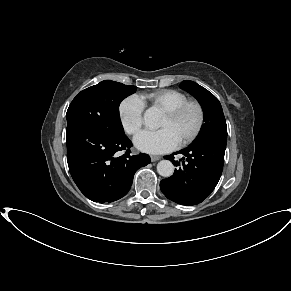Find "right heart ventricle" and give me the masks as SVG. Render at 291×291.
Returning <instances> with one entry per match:
<instances>
[{
    "instance_id": "e07e8e85",
    "label": "right heart ventricle",
    "mask_w": 291,
    "mask_h": 291,
    "mask_svg": "<svg viewBox=\"0 0 291 291\" xmlns=\"http://www.w3.org/2000/svg\"><path fill=\"white\" fill-rule=\"evenodd\" d=\"M141 100L147 101L154 108H158L165 112L173 109L188 100L183 92L174 89H162L140 96Z\"/></svg>"
}]
</instances>
